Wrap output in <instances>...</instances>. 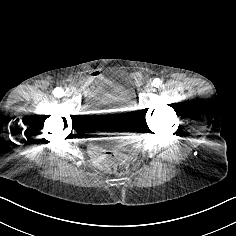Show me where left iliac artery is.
I'll return each instance as SVG.
<instances>
[{
  "label": "left iliac artery",
  "instance_id": "1",
  "mask_svg": "<svg viewBox=\"0 0 236 236\" xmlns=\"http://www.w3.org/2000/svg\"><path fill=\"white\" fill-rule=\"evenodd\" d=\"M161 83H162V81L159 79V78H155L154 80H153V83H152V85L154 86V87H159V86H161Z\"/></svg>",
  "mask_w": 236,
  "mask_h": 236
}]
</instances>
